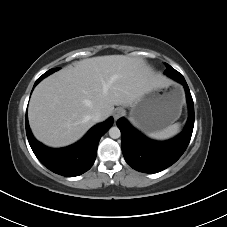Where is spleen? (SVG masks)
<instances>
[{
    "label": "spleen",
    "mask_w": 227,
    "mask_h": 227,
    "mask_svg": "<svg viewBox=\"0 0 227 227\" xmlns=\"http://www.w3.org/2000/svg\"><path fill=\"white\" fill-rule=\"evenodd\" d=\"M179 129H180V124L175 123L173 125H169L168 127L162 130L151 132L148 134V136L150 138L159 139V140L168 139L176 135L179 132Z\"/></svg>",
    "instance_id": "3e777b00"
}]
</instances>
